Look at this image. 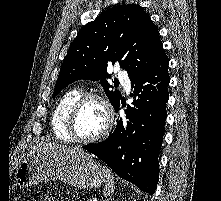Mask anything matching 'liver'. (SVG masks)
<instances>
[{"instance_id": "1", "label": "liver", "mask_w": 221, "mask_h": 201, "mask_svg": "<svg viewBox=\"0 0 221 201\" xmlns=\"http://www.w3.org/2000/svg\"><path fill=\"white\" fill-rule=\"evenodd\" d=\"M34 152H48V153H59V154H68L74 152H84L78 147H68L66 145L61 144H51V143H43L33 148Z\"/></svg>"}]
</instances>
